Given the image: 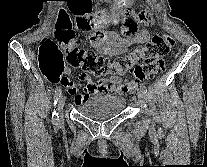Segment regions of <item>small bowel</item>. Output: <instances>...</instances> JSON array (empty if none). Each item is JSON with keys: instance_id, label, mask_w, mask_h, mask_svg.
Wrapping results in <instances>:
<instances>
[{"instance_id": "1", "label": "small bowel", "mask_w": 207, "mask_h": 167, "mask_svg": "<svg viewBox=\"0 0 207 167\" xmlns=\"http://www.w3.org/2000/svg\"><path fill=\"white\" fill-rule=\"evenodd\" d=\"M109 4L117 5L118 9H127L129 0L109 1ZM68 9H71L73 17L79 19L77 20V24L81 28H94L93 33L84 41L100 55L111 56L117 59L134 46L142 47L151 38L149 32H138L137 30L141 24H150L153 22V18L148 12H141L138 15L126 13L122 32L121 34H117L106 31L103 27L106 24H119L120 20H105L101 18L94 21L87 16V14H91L92 1H69ZM107 10L108 7H102V10H100L102 17L106 19L110 17L119 19L123 16V13H107ZM122 73L121 69L114 63L111 65L110 76L98 81L91 79L86 73H80L78 81L84 84L80 88L70 78L71 69L64 66L62 77L57 83L65 87L67 92L75 97V102L79 105L86 102L93 95L104 96L111 94L119 96L133 92L137 87V83L122 81L120 77Z\"/></svg>"}]
</instances>
